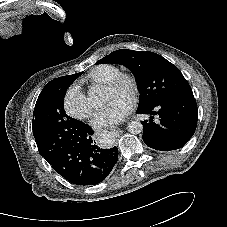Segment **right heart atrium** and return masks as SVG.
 <instances>
[{
  "mask_svg": "<svg viewBox=\"0 0 227 227\" xmlns=\"http://www.w3.org/2000/svg\"><path fill=\"white\" fill-rule=\"evenodd\" d=\"M63 108L65 112L77 120H85L93 115L85 93L79 86L71 85L63 95Z\"/></svg>",
  "mask_w": 227,
  "mask_h": 227,
  "instance_id": "1",
  "label": "right heart atrium"
}]
</instances>
